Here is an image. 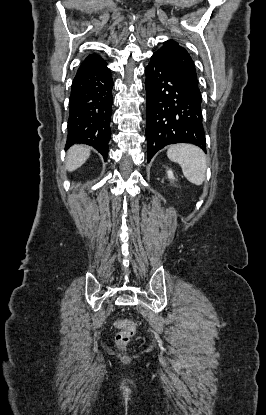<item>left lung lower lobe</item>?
I'll use <instances>...</instances> for the list:
<instances>
[{
	"instance_id": "1",
	"label": "left lung lower lobe",
	"mask_w": 266,
	"mask_h": 415,
	"mask_svg": "<svg viewBox=\"0 0 266 415\" xmlns=\"http://www.w3.org/2000/svg\"><path fill=\"white\" fill-rule=\"evenodd\" d=\"M145 74L147 162L169 144L191 143L206 151L202 98L157 53Z\"/></svg>"
}]
</instances>
